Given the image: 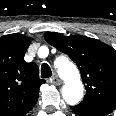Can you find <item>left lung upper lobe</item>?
<instances>
[{
  "label": "left lung upper lobe",
  "instance_id": "1",
  "mask_svg": "<svg viewBox=\"0 0 116 116\" xmlns=\"http://www.w3.org/2000/svg\"><path fill=\"white\" fill-rule=\"evenodd\" d=\"M45 40L77 64L86 94L81 106L116 109V50L86 36L46 32Z\"/></svg>",
  "mask_w": 116,
  "mask_h": 116
}]
</instances>
